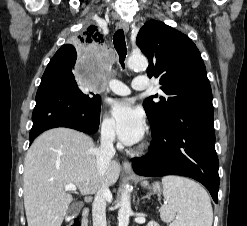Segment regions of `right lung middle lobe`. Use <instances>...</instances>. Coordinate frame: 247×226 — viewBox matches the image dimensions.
Masks as SVG:
<instances>
[{"instance_id":"dd1d6c3e","label":"right lung middle lobe","mask_w":247,"mask_h":226,"mask_svg":"<svg viewBox=\"0 0 247 226\" xmlns=\"http://www.w3.org/2000/svg\"><path fill=\"white\" fill-rule=\"evenodd\" d=\"M76 58H77V54L63 55V56H60L56 61V65L64 68V70L68 73V75L72 79H75L73 75V70H74V65L76 63ZM87 96L94 104L100 103V95H97V94L95 95L93 93H90V94H87Z\"/></svg>"}]
</instances>
